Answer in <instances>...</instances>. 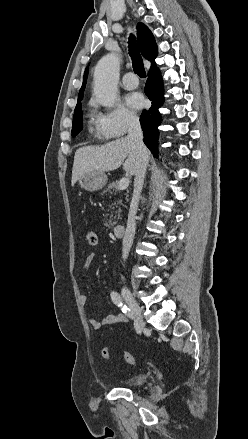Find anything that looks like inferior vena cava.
Here are the masks:
<instances>
[{"label":"inferior vena cava","instance_id":"obj_1","mask_svg":"<svg viewBox=\"0 0 248 439\" xmlns=\"http://www.w3.org/2000/svg\"><path fill=\"white\" fill-rule=\"evenodd\" d=\"M127 138L133 142L136 150L138 151L139 162L134 174L135 178L133 196L128 215L127 227L122 242V258L124 259V261L127 259L133 243L136 230V213L148 165L147 149L143 143V132L139 119L137 117H130L128 120Z\"/></svg>","mask_w":248,"mask_h":439}]
</instances>
